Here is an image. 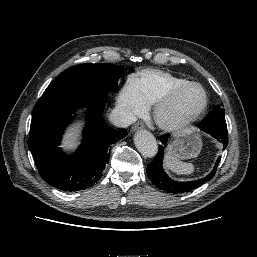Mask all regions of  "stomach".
<instances>
[{"mask_svg":"<svg viewBox=\"0 0 257 257\" xmlns=\"http://www.w3.org/2000/svg\"><path fill=\"white\" fill-rule=\"evenodd\" d=\"M201 147L202 141L199 134L192 129H186L174 134L169 152L176 159L185 160L196 157Z\"/></svg>","mask_w":257,"mask_h":257,"instance_id":"0dacf381","label":"stomach"}]
</instances>
